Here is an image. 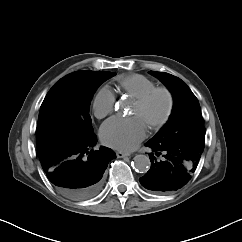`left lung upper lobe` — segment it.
I'll return each mask as SVG.
<instances>
[{
	"mask_svg": "<svg viewBox=\"0 0 242 242\" xmlns=\"http://www.w3.org/2000/svg\"><path fill=\"white\" fill-rule=\"evenodd\" d=\"M170 90L174 106L169 121L150 140L153 143L170 147L190 148L203 153L205 127L199 102L187 84L171 74L150 71Z\"/></svg>",
	"mask_w": 242,
	"mask_h": 242,
	"instance_id": "left-lung-upper-lobe-1",
	"label": "left lung upper lobe"
}]
</instances>
